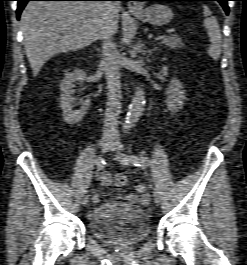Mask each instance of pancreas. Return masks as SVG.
<instances>
[{"instance_id":"pancreas-1","label":"pancreas","mask_w":247,"mask_h":265,"mask_svg":"<svg viewBox=\"0 0 247 265\" xmlns=\"http://www.w3.org/2000/svg\"><path fill=\"white\" fill-rule=\"evenodd\" d=\"M161 44H164L171 49H178L185 46V44L182 42V39L177 35L165 36L162 39Z\"/></svg>"}]
</instances>
